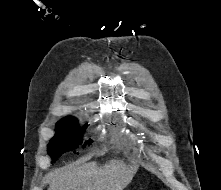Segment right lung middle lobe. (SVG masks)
Masks as SVG:
<instances>
[{
	"label": "right lung middle lobe",
	"instance_id": "dd1d6c3e",
	"mask_svg": "<svg viewBox=\"0 0 221 190\" xmlns=\"http://www.w3.org/2000/svg\"><path fill=\"white\" fill-rule=\"evenodd\" d=\"M87 125L83 127L85 131ZM81 144V131L77 120L67 117L56 124L55 136L50 140L47 151L53 162L65 151L76 149Z\"/></svg>",
	"mask_w": 221,
	"mask_h": 190
}]
</instances>
